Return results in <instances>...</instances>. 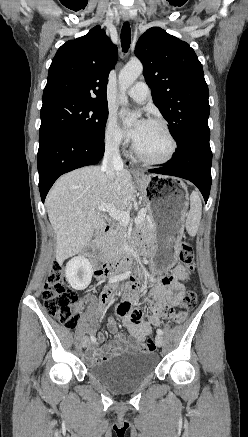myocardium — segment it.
<instances>
[{"instance_id": "f54148a6", "label": "myocardium", "mask_w": 248, "mask_h": 437, "mask_svg": "<svg viewBox=\"0 0 248 437\" xmlns=\"http://www.w3.org/2000/svg\"><path fill=\"white\" fill-rule=\"evenodd\" d=\"M149 122L154 123L159 125L163 131L165 132V134L167 135L169 141H170V150L167 153V155L162 158V159H150L145 157L136 147L135 143L133 144V152L136 155V157L143 162L146 165H151V166H157V165H164L168 162H170L173 157L176 154L177 151V141L172 133V131L170 130L168 124L166 121H164L163 119L160 118H152Z\"/></svg>"}]
</instances>
